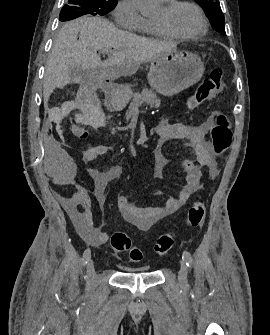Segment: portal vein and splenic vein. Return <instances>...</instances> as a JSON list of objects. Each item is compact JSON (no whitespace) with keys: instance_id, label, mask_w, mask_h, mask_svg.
Here are the masks:
<instances>
[{"instance_id":"18ae733b","label":"portal vein and splenic vein","mask_w":270,"mask_h":335,"mask_svg":"<svg viewBox=\"0 0 270 335\" xmlns=\"http://www.w3.org/2000/svg\"><path fill=\"white\" fill-rule=\"evenodd\" d=\"M99 52H103V54H105V52H108V54H113L111 50H99ZM104 66H109V64H104Z\"/></svg>"}]
</instances>
